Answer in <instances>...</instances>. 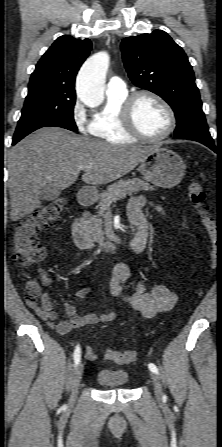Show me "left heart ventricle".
Returning <instances> with one entry per match:
<instances>
[{"label":"left heart ventricle","mask_w":222,"mask_h":447,"mask_svg":"<svg viewBox=\"0 0 222 447\" xmlns=\"http://www.w3.org/2000/svg\"><path fill=\"white\" fill-rule=\"evenodd\" d=\"M134 122L147 136L161 135L168 126V116L163 107L149 97H141L134 107Z\"/></svg>","instance_id":"left-heart-ventricle-1"}]
</instances>
